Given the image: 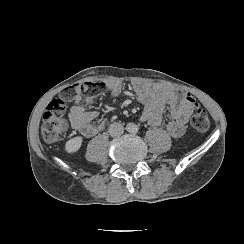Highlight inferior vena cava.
I'll list each match as a JSON object with an SVG mask.
<instances>
[{
  "label": "inferior vena cava",
  "instance_id": "obj_1",
  "mask_svg": "<svg viewBox=\"0 0 244 244\" xmlns=\"http://www.w3.org/2000/svg\"><path fill=\"white\" fill-rule=\"evenodd\" d=\"M123 132H124V127L120 123L115 122L109 126V134L112 137H119L123 134Z\"/></svg>",
  "mask_w": 244,
  "mask_h": 244
}]
</instances>
